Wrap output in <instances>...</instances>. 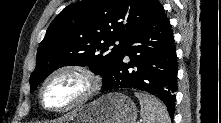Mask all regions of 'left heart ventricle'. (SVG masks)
Listing matches in <instances>:
<instances>
[{"mask_svg": "<svg viewBox=\"0 0 221 123\" xmlns=\"http://www.w3.org/2000/svg\"><path fill=\"white\" fill-rule=\"evenodd\" d=\"M87 87L84 78L75 73L54 77L44 91L45 103L50 107H64L76 101Z\"/></svg>", "mask_w": 221, "mask_h": 123, "instance_id": "1", "label": "left heart ventricle"}]
</instances>
